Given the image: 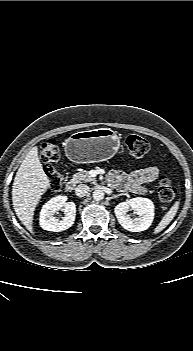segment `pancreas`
I'll return each mask as SVG.
<instances>
[{
    "instance_id": "obj_1",
    "label": "pancreas",
    "mask_w": 193,
    "mask_h": 351,
    "mask_svg": "<svg viewBox=\"0 0 193 351\" xmlns=\"http://www.w3.org/2000/svg\"><path fill=\"white\" fill-rule=\"evenodd\" d=\"M95 181H96L95 178L91 177L88 171H81V172L75 173L70 182L73 185H76L81 182L95 183Z\"/></svg>"
}]
</instances>
